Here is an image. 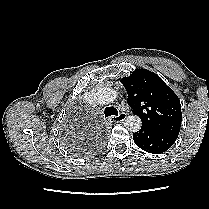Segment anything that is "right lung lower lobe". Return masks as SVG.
Returning a JSON list of instances; mask_svg holds the SVG:
<instances>
[{
    "label": "right lung lower lobe",
    "instance_id": "obj_1",
    "mask_svg": "<svg viewBox=\"0 0 209 209\" xmlns=\"http://www.w3.org/2000/svg\"><path fill=\"white\" fill-rule=\"evenodd\" d=\"M101 144L98 140H88L81 143H71V149L79 155H88L94 152Z\"/></svg>",
    "mask_w": 209,
    "mask_h": 209
}]
</instances>
